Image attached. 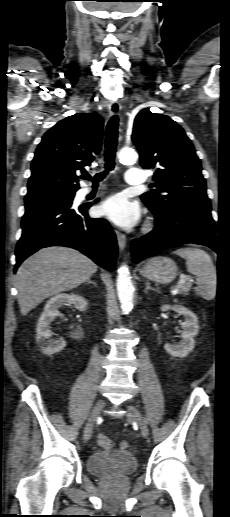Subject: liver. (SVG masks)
Instances as JSON below:
<instances>
[{"label": "liver", "mask_w": 230, "mask_h": 517, "mask_svg": "<svg viewBox=\"0 0 230 517\" xmlns=\"http://www.w3.org/2000/svg\"><path fill=\"white\" fill-rule=\"evenodd\" d=\"M97 265L68 247H47L26 259L18 268L16 286L22 315L44 299L71 290L88 281Z\"/></svg>", "instance_id": "obj_1"}]
</instances>
